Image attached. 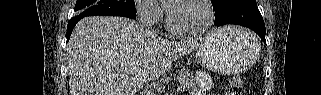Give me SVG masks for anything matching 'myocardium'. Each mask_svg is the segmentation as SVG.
<instances>
[{
  "instance_id": "myocardium-1",
  "label": "myocardium",
  "mask_w": 321,
  "mask_h": 95,
  "mask_svg": "<svg viewBox=\"0 0 321 95\" xmlns=\"http://www.w3.org/2000/svg\"><path fill=\"white\" fill-rule=\"evenodd\" d=\"M187 1H198V2H201L205 6L206 11H207V20L202 28L197 29V30L186 31V30L177 29L173 25L171 15H170L171 8L179 3H183V2H187ZM214 19H215V11H214L212 2L210 0H176V1H174V4L169 5L167 7L166 27L169 32H171L172 34H174L176 36L193 37V36H199V35L204 34L208 30V28L212 25V23L214 22Z\"/></svg>"
}]
</instances>
